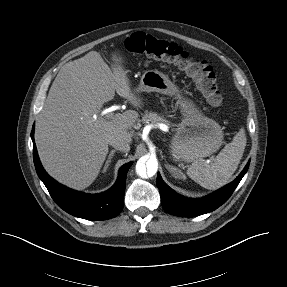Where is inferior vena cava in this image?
Masks as SVG:
<instances>
[{"label": "inferior vena cava", "mask_w": 287, "mask_h": 287, "mask_svg": "<svg viewBox=\"0 0 287 287\" xmlns=\"http://www.w3.org/2000/svg\"><path fill=\"white\" fill-rule=\"evenodd\" d=\"M109 145L117 150L128 152L130 150V145L127 141L120 137H112L109 140Z\"/></svg>", "instance_id": "inferior-vena-cava-1"}]
</instances>
